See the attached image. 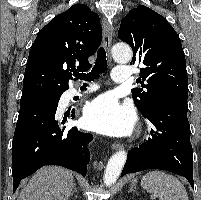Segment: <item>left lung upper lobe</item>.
Masks as SVG:
<instances>
[{
    "mask_svg": "<svg viewBox=\"0 0 201 200\" xmlns=\"http://www.w3.org/2000/svg\"><path fill=\"white\" fill-rule=\"evenodd\" d=\"M119 38L133 49L130 63H143L142 88L132 89L136 107L144 113L163 98L188 97V79L181 41L173 27L152 9L139 5L121 20Z\"/></svg>",
    "mask_w": 201,
    "mask_h": 200,
    "instance_id": "left-lung-upper-lobe-1",
    "label": "left lung upper lobe"
}]
</instances>
